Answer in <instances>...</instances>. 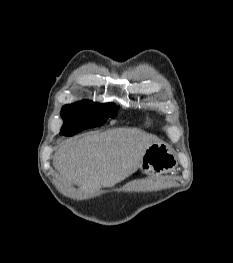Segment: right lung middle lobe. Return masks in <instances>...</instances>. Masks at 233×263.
I'll return each instance as SVG.
<instances>
[{
  "instance_id": "1",
  "label": "right lung middle lobe",
  "mask_w": 233,
  "mask_h": 263,
  "mask_svg": "<svg viewBox=\"0 0 233 263\" xmlns=\"http://www.w3.org/2000/svg\"><path fill=\"white\" fill-rule=\"evenodd\" d=\"M116 115L117 109L112 103L100 104L84 100L65 105L61 111L65 122L60 134L73 136L82 130L101 126L108 118Z\"/></svg>"
}]
</instances>
